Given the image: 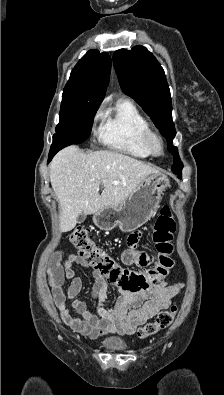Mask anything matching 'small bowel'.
I'll use <instances>...</instances> for the list:
<instances>
[{"label":"small bowel","instance_id":"1","mask_svg":"<svg viewBox=\"0 0 224 395\" xmlns=\"http://www.w3.org/2000/svg\"><path fill=\"white\" fill-rule=\"evenodd\" d=\"M140 241L139 233L129 236L128 249L122 255L125 264L147 266L151 262L148 253L137 249ZM76 265L89 266L77 254L70 255L63 262L61 254H56L47 269L48 283L62 321L74 331L91 339L105 334H133L148 319L166 309L179 288V284H168L163 279L136 293L120 287L118 300L113 306L107 307L105 301L108 296V280L100 272L93 271L91 295L97 306L95 312H92L84 300L76 298L82 288V279L75 276ZM66 280H71V283L64 291ZM69 300H73L72 310L78 316L71 314L67 304Z\"/></svg>","mask_w":224,"mask_h":395}]
</instances>
